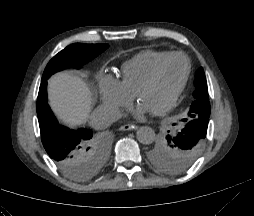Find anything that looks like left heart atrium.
Returning <instances> with one entry per match:
<instances>
[{
  "instance_id": "left-heart-atrium-1",
  "label": "left heart atrium",
  "mask_w": 254,
  "mask_h": 216,
  "mask_svg": "<svg viewBox=\"0 0 254 216\" xmlns=\"http://www.w3.org/2000/svg\"><path fill=\"white\" fill-rule=\"evenodd\" d=\"M154 111L143 103H139L134 111V115L138 118L144 117L146 114L153 113Z\"/></svg>"
}]
</instances>
